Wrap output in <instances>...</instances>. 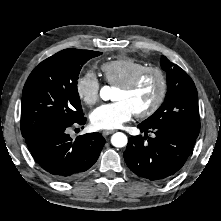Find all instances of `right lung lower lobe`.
I'll use <instances>...</instances> for the list:
<instances>
[{
    "instance_id": "98d812e1",
    "label": "right lung lower lobe",
    "mask_w": 221,
    "mask_h": 221,
    "mask_svg": "<svg viewBox=\"0 0 221 221\" xmlns=\"http://www.w3.org/2000/svg\"><path fill=\"white\" fill-rule=\"evenodd\" d=\"M85 117L73 123L54 124L24 137L39 167L58 181H71L84 175L97 161L105 144L99 133H87L73 140L70 127L84 125Z\"/></svg>"
}]
</instances>
